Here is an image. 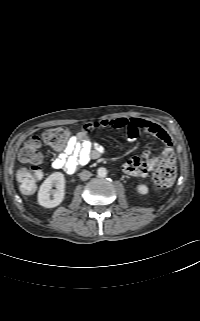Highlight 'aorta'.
Here are the masks:
<instances>
[{
    "label": "aorta",
    "instance_id": "aorta-1",
    "mask_svg": "<svg viewBox=\"0 0 200 321\" xmlns=\"http://www.w3.org/2000/svg\"><path fill=\"white\" fill-rule=\"evenodd\" d=\"M97 174H98L99 177H106V175H107L106 168H104V167L98 168Z\"/></svg>",
    "mask_w": 200,
    "mask_h": 321
}]
</instances>
